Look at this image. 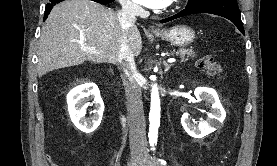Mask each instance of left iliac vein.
Returning <instances> with one entry per match:
<instances>
[{
  "instance_id": "1",
  "label": "left iliac vein",
  "mask_w": 277,
  "mask_h": 166,
  "mask_svg": "<svg viewBox=\"0 0 277 166\" xmlns=\"http://www.w3.org/2000/svg\"><path fill=\"white\" fill-rule=\"evenodd\" d=\"M145 166H152L151 164H147V165H145Z\"/></svg>"
}]
</instances>
